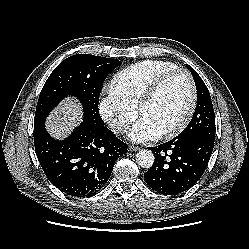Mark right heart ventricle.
Listing matches in <instances>:
<instances>
[{
  "label": "right heart ventricle",
  "mask_w": 249,
  "mask_h": 249,
  "mask_svg": "<svg viewBox=\"0 0 249 249\" xmlns=\"http://www.w3.org/2000/svg\"><path fill=\"white\" fill-rule=\"evenodd\" d=\"M177 68L165 60H144L117 72L111 80V89L122 100L136 109L139 100L151 83L161 74Z\"/></svg>",
  "instance_id": "right-heart-ventricle-1"
}]
</instances>
